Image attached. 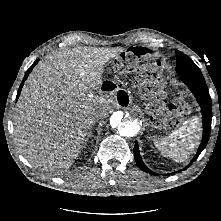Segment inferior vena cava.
<instances>
[{"label":"inferior vena cava","instance_id":"1","mask_svg":"<svg viewBox=\"0 0 221 221\" xmlns=\"http://www.w3.org/2000/svg\"><path fill=\"white\" fill-rule=\"evenodd\" d=\"M103 117V114L100 110H95L93 113H92V118L96 121H99L101 120Z\"/></svg>","mask_w":221,"mask_h":221}]
</instances>
